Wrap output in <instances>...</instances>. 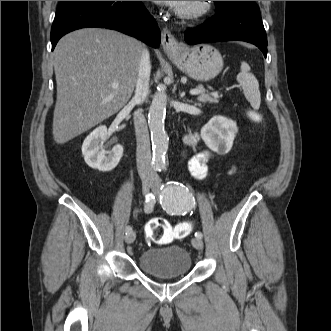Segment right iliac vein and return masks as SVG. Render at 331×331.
I'll return each instance as SVG.
<instances>
[{"instance_id": "1", "label": "right iliac vein", "mask_w": 331, "mask_h": 331, "mask_svg": "<svg viewBox=\"0 0 331 331\" xmlns=\"http://www.w3.org/2000/svg\"><path fill=\"white\" fill-rule=\"evenodd\" d=\"M152 183L153 182L149 179H144L142 181V190H143L144 194H147L149 192L150 188L152 187ZM135 238H136L135 232L131 231V232L126 234L125 242L127 244H131V243L134 242Z\"/></svg>"}]
</instances>
